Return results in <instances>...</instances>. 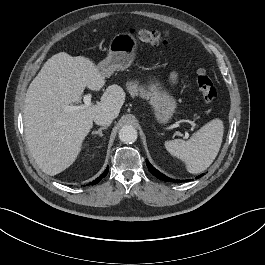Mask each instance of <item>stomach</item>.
Segmentation results:
<instances>
[{
	"instance_id": "stomach-1",
	"label": "stomach",
	"mask_w": 265,
	"mask_h": 265,
	"mask_svg": "<svg viewBox=\"0 0 265 265\" xmlns=\"http://www.w3.org/2000/svg\"><path fill=\"white\" fill-rule=\"evenodd\" d=\"M137 47L136 39L128 33L115 35L109 44L108 56L98 65V70L105 76H111L116 70H125L133 62ZM150 102L156 120L166 124L172 118L177 108L176 100L167 91L161 90L158 83L151 84Z\"/></svg>"
}]
</instances>
